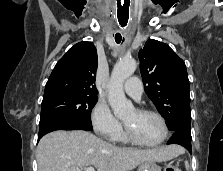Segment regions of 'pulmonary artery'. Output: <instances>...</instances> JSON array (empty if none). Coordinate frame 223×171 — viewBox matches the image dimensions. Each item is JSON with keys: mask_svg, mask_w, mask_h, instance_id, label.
<instances>
[{"mask_svg": "<svg viewBox=\"0 0 223 171\" xmlns=\"http://www.w3.org/2000/svg\"><path fill=\"white\" fill-rule=\"evenodd\" d=\"M124 91L135 100H139L143 93V86L138 77H131L124 83Z\"/></svg>", "mask_w": 223, "mask_h": 171, "instance_id": "e3ab8cb5", "label": "pulmonary artery"}]
</instances>
